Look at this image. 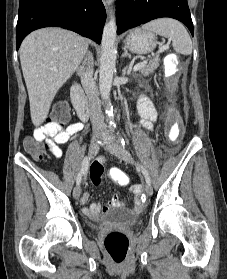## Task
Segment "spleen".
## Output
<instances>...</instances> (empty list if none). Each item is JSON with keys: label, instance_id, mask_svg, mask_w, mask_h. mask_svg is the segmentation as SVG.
Segmentation results:
<instances>
[{"label": "spleen", "instance_id": "1", "mask_svg": "<svg viewBox=\"0 0 227 279\" xmlns=\"http://www.w3.org/2000/svg\"><path fill=\"white\" fill-rule=\"evenodd\" d=\"M142 28L169 38L177 53L183 55L192 53V41L187 30L180 22L170 18H162L151 21L143 25Z\"/></svg>", "mask_w": 227, "mask_h": 279}]
</instances>
